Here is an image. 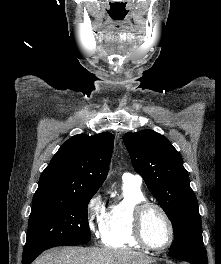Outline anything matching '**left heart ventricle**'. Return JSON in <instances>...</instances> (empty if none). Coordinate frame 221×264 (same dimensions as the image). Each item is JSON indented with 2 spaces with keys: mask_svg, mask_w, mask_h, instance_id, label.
Wrapping results in <instances>:
<instances>
[{
  "mask_svg": "<svg viewBox=\"0 0 221 264\" xmlns=\"http://www.w3.org/2000/svg\"><path fill=\"white\" fill-rule=\"evenodd\" d=\"M143 231L147 242L156 247L165 245L169 239L168 225L162 214L156 209L146 212Z\"/></svg>",
  "mask_w": 221,
  "mask_h": 264,
  "instance_id": "1",
  "label": "left heart ventricle"
}]
</instances>
